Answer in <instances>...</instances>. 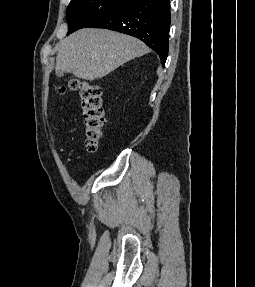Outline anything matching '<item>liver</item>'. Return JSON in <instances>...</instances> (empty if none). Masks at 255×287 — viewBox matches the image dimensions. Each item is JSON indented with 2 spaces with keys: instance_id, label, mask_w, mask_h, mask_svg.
I'll list each match as a JSON object with an SVG mask.
<instances>
[{
  "instance_id": "obj_1",
  "label": "liver",
  "mask_w": 255,
  "mask_h": 287,
  "mask_svg": "<svg viewBox=\"0 0 255 287\" xmlns=\"http://www.w3.org/2000/svg\"><path fill=\"white\" fill-rule=\"evenodd\" d=\"M150 52L131 36L110 30H79L62 40L57 54V68L82 80L103 78L129 60Z\"/></svg>"
}]
</instances>
